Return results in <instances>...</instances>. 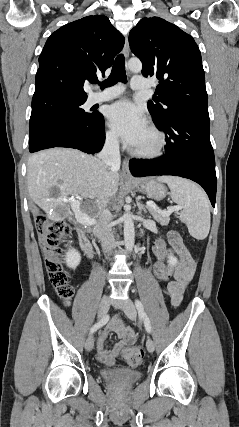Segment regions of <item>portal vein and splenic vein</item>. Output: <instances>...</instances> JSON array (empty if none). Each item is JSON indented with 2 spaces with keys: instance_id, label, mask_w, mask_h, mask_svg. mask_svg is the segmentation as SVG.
<instances>
[{
  "instance_id": "portal-vein-and-splenic-vein-1",
  "label": "portal vein and splenic vein",
  "mask_w": 239,
  "mask_h": 427,
  "mask_svg": "<svg viewBox=\"0 0 239 427\" xmlns=\"http://www.w3.org/2000/svg\"><path fill=\"white\" fill-rule=\"evenodd\" d=\"M77 198H79V197H77ZM80 199V198H79ZM66 201H68V202H71V203H75V202H78V201H76V199L74 198V197H71V198H69V199H67ZM146 205H147V207H150V208H152V209H155L157 212H159L160 214H162L163 216H169L172 212H177V211H179L180 210V207L179 206H173V207H170V208H168L167 210H165V211H162V210H160L157 206H156V204H154L153 202H150V201H148V202H146ZM84 223L85 224H91V225H93V224H95L96 223V220L95 219H91V218H86L85 219V221H84Z\"/></svg>"
}]
</instances>
